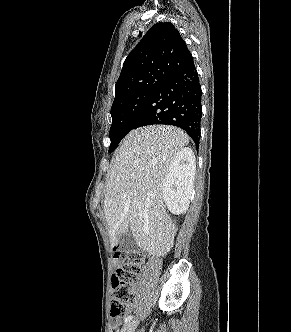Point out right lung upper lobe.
<instances>
[{
  "instance_id": "1",
  "label": "right lung upper lobe",
  "mask_w": 291,
  "mask_h": 332,
  "mask_svg": "<svg viewBox=\"0 0 291 332\" xmlns=\"http://www.w3.org/2000/svg\"><path fill=\"white\" fill-rule=\"evenodd\" d=\"M191 62L192 55L174 25L156 23L125 59L115 85L114 101L162 81Z\"/></svg>"
}]
</instances>
